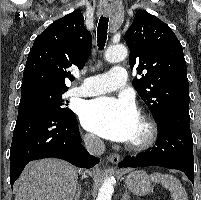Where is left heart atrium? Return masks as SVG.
<instances>
[{
	"label": "left heart atrium",
	"instance_id": "39dd6f15",
	"mask_svg": "<svg viewBox=\"0 0 201 200\" xmlns=\"http://www.w3.org/2000/svg\"><path fill=\"white\" fill-rule=\"evenodd\" d=\"M83 126L112 141L132 139L140 120L132 100L100 97L86 102L80 112Z\"/></svg>",
	"mask_w": 201,
	"mask_h": 200
}]
</instances>
